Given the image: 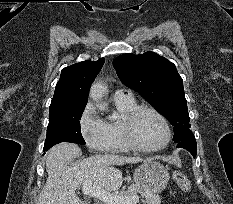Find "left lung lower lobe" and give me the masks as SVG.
<instances>
[{"label":"left lung lower lobe","instance_id":"1","mask_svg":"<svg viewBox=\"0 0 233 204\" xmlns=\"http://www.w3.org/2000/svg\"><path fill=\"white\" fill-rule=\"evenodd\" d=\"M183 148L188 150L194 157L197 154L196 144L184 145Z\"/></svg>","mask_w":233,"mask_h":204}]
</instances>
